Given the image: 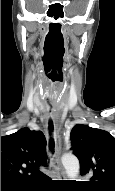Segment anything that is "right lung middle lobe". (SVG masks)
<instances>
[{"label": "right lung middle lobe", "instance_id": "dd1d6c3e", "mask_svg": "<svg viewBox=\"0 0 115 191\" xmlns=\"http://www.w3.org/2000/svg\"><path fill=\"white\" fill-rule=\"evenodd\" d=\"M3 188V187H2ZM2 190H10V189H8V188H3Z\"/></svg>", "mask_w": 115, "mask_h": 191}]
</instances>
